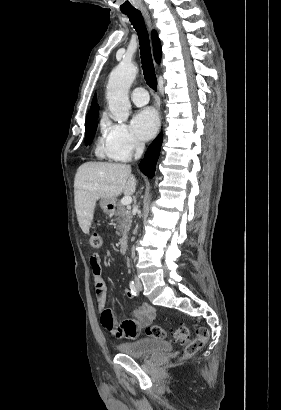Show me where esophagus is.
Listing matches in <instances>:
<instances>
[{"instance_id":"34e87169","label":"esophagus","mask_w":281,"mask_h":410,"mask_svg":"<svg viewBox=\"0 0 281 410\" xmlns=\"http://www.w3.org/2000/svg\"><path fill=\"white\" fill-rule=\"evenodd\" d=\"M141 11H142V13H143V15H144V17H145V19H146V22H147V25H148V27H149V30H152L153 25H152V23H151V19H150V15H149L148 11H147L146 9H142Z\"/></svg>"}]
</instances>
